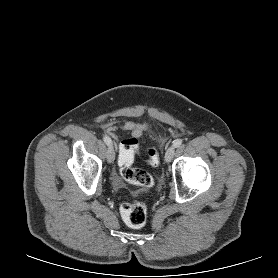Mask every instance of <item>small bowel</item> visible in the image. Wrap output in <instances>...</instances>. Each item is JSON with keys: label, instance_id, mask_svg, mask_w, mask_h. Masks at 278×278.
<instances>
[{"label": "small bowel", "instance_id": "1", "mask_svg": "<svg viewBox=\"0 0 278 278\" xmlns=\"http://www.w3.org/2000/svg\"><path fill=\"white\" fill-rule=\"evenodd\" d=\"M103 129L113 138H118V132H128L133 138H139L146 130L145 123H138L132 120H111L102 125Z\"/></svg>", "mask_w": 278, "mask_h": 278}]
</instances>
